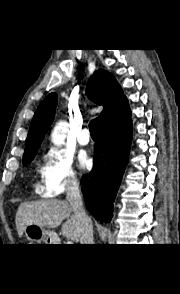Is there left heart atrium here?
<instances>
[{
	"label": "left heart atrium",
	"mask_w": 180,
	"mask_h": 294,
	"mask_svg": "<svg viewBox=\"0 0 180 294\" xmlns=\"http://www.w3.org/2000/svg\"><path fill=\"white\" fill-rule=\"evenodd\" d=\"M78 162L81 168H88L90 165V160L84 153L79 155Z\"/></svg>",
	"instance_id": "39dd6f15"
}]
</instances>
